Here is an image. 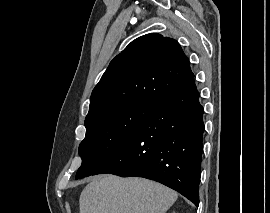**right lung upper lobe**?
<instances>
[{"label": "right lung upper lobe", "instance_id": "cb5924a9", "mask_svg": "<svg viewBox=\"0 0 270 213\" xmlns=\"http://www.w3.org/2000/svg\"><path fill=\"white\" fill-rule=\"evenodd\" d=\"M193 77L176 40L156 33L141 36L110 62L92 91L85 120L135 100L157 104Z\"/></svg>", "mask_w": 270, "mask_h": 213}]
</instances>
